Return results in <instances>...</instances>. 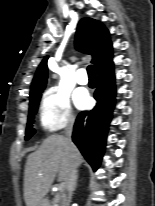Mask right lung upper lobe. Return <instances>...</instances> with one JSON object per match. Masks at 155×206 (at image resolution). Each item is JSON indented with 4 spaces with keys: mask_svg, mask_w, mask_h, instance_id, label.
<instances>
[{
    "mask_svg": "<svg viewBox=\"0 0 155 206\" xmlns=\"http://www.w3.org/2000/svg\"><path fill=\"white\" fill-rule=\"evenodd\" d=\"M75 44L79 51L92 55V63L97 72L112 61V44L109 39V32L97 20L91 18L80 20ZM47 60L48 56L42 60L36 71L31 85L30 98L42 92L46 86Z\"/></svg>",
    "mask_w": 155,
    "mask_h": 206,
    "instance_id": "cb5924a9",
    "label": "right lung upper lobe"
}]
</instances>
